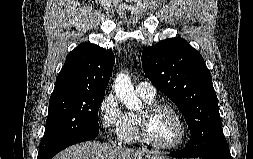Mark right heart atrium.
I'll list each match as a JSON object with an SVG mask.
<instances>
[{"label":"right heart atrium","mask_w":253,"mask_h":159,"mask_svg":"<svg viewBox=\"0 0 253 159\" xmlns=\"http://www.w3.org/2000/svg\"><path fill=\"white\" fill-rule=\"evenodd\" d=\"M98 115L108 139L116 143H123L126 113L122 110L117 97L113 93H108L102 98Z\"/></svg>","instance_id":"1"}]
</instances>
